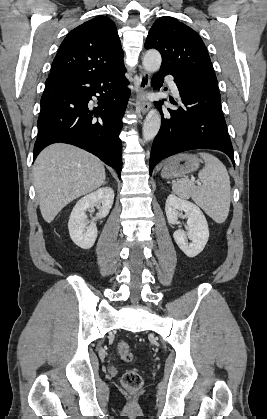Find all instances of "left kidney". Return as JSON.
Returning a JSON list of instances; mask_svg holds the SVG:
<instances>
[{
    "label": "left kidney",
    "instance_id": "left-kidney-1",
    "mask_svg": "<svg viewBox=\"0 0 267 419\" xmlns=\"http://www.w3.org/2000/svg\"><path fill=\"white\" fill-rule=\"evenodd\" d=\"M178 211H183L187 217L188 232L176 230L173 234L174 240L188 257H195L202 252L209 238L207 220L197 205L171 194L165 204L169 224L178 222ZM187 238L192 242L188 243Z\"/></svg>",
    "mask_w": 267,
    "mask_h": 419
}]
</instances>
